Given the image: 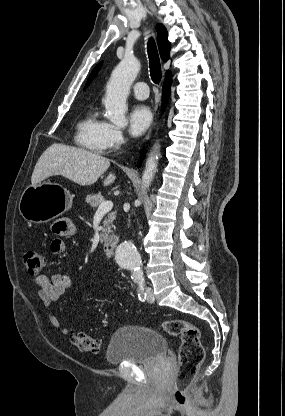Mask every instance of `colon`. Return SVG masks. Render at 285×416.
<instances>
[{
    "label": "colon",
    "instance_id": "1",
    "mask_svg": "<svg viewBox=\"0 0 285 416\" xmlns=\"http://www.w3.org/2000/svg\"><path fill=\"white\" fill-rule=\"evenodd\" d=\"M24 264L30 275H38L44 266V256L37 251L24 254ZM163 330L172 336H179V367L171 388L174 403L181 408L189 405V390L201 366L205 351L201 343L200 330L185 320H168L162 323ZM71 342L81 351L98 353L100 341L86 331L69 333Z\"/></svg>",
    "mask_w": 285,
    "mask_h": 416
}]
</instances>
